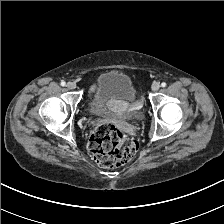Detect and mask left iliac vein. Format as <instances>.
<instances>
[{
  "label": "left iliac vein",
  "instance_id": "1",
  "mask_svg": "<svg viewBox=\"0 0 224 224\" xmlns=\"http://www.w3.org/2000/svg\"><path fill=\"white\" fill-rule=\"evenodd\" d=\"M160 88V84L158 82H154L151 86L152 91L156 92Z\"/></svg>",
  "mask_w": 224,
  "mask_h": 224
}]
</instances>
